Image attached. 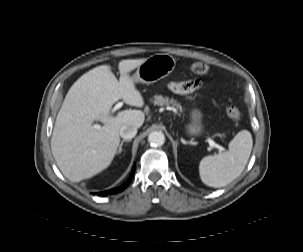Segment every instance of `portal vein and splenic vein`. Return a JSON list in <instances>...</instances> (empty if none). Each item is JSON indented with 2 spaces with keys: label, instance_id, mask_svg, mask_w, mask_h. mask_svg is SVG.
<instances>
[{
  "label": "portal vein and splenic vein",
  "instance_id": "1",
  "mask_svg": "<svg viewBox=\"0 0 303 252\" xmlns=\"http://www.w3.org/2000/svg\"><path fill=\"white\" fill-rule=\"evenodd\" d=\"M121 106H122V103L116 104V105L114 106V108L112 109V113L116 112L119 108H121ZM93 128H95V129H100L101 126L98 125V124H94V125H93ZM207 141H208V143H209V145H210L211 148L216 147V148H218L220 151H225V148H224V147H222V146L216 144V143H215L213 140H211L210 138H208Z\"/></svg>",
  "mask_w": 303,
  "mask_h": 252
}]
</instances>
